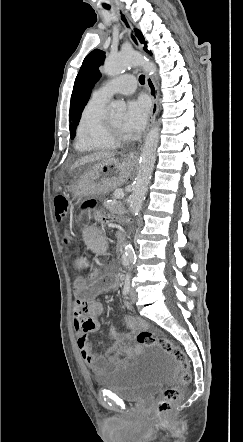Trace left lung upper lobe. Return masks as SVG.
Here are the masks:
<instances>
[{
    "label": "left lung upper lobe",
    "mask_w": 243,
    "mask_h": 442,
    "mask_svg": "<svg viewBox=\"0 0 243 442\" xmlns=\"http://www.w3.org/2000/svg\"><path fill=\"white\" fill-rule=\"evenodd\" d=\"M135 33L139 41L145 44L144 49L147 50L145 39L140 31L135 29ZM105 59V52L95 49L90 52L84 59L80 71L75 79L72 93V120L70 125L71 138L75 137V130L79 123L81 113L89 100L91 90L95 82L99 79V66Z\"/></svg>",
    "instance_id": "obj_1"
}]
</instances>
